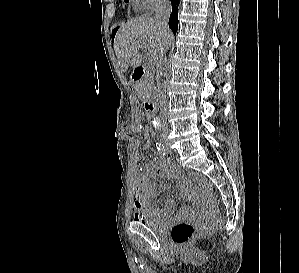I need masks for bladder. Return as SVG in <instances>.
I'll return each mask as SVG.
<instances>
[{"label": "bladder", "mask_w": 299, "mask_h": 273, "mask_svg": "<svg viewBox=\"0 0 299 273\" xmlns=\"http://www.w3.org/2000/svg\"><path fill=\"white\" fill-rule=\"evenodd\" d=\"M138 221L155 233H163L167 223L165 219L156 217L149 212L142 213Z\"/></svg>", "instance_id": "bladder-1"}]
</instances>
